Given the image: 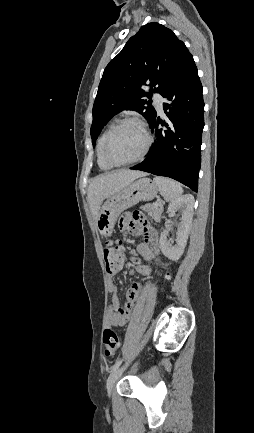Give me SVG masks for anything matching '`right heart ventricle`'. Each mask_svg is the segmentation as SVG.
Wrapping results in <instances>:
<instances>
[{
    "mask_svg": "<svg viewBox=\"0 0 254 433\" xmlns=\"http://www.w3.org/2000/svg\"><path fill=\"white\" fill-rule=\"evenodd\" d=\"M115 124L116 123L113 122L108 126V128L100 136L98 143H97V163H98V166L100 167V169H102L104 171H108V170L112 169V166L107 164L102 158V155H101L102 145H103V142H104L107 134L115 126Z\"/></svg>",
    "mask_w": 254,
    "mask_h": 433,
    "instance_id": "1",
    "label": "right heart ventricle"
}]
</instances>
